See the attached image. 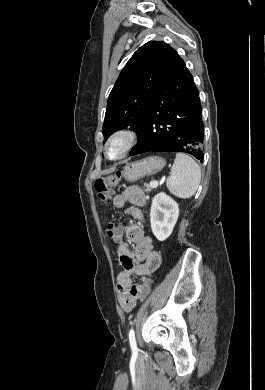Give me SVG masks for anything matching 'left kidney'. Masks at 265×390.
I'll return each mask as SVG.
<instances>
[{
  "mask_svg": "<svg viewBox=\"0 0 265 390\" xmlns=\"http://www.w3.org/2000/svg\"><path fill=\"white\" fill-rule=\"evenodd\" d=\"M179 216V206L170 196L161 192L153 200L150 211L151 229L159 241L172 233Z\"/></svg>",
  "mask_w": 265,
  "mask_h": 390,
  "instance_id": "5707ae66",
  "label": "left kidney"
}]
</instances>
